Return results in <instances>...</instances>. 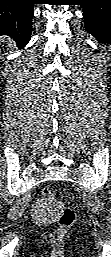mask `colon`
Masks as SVG:
<instances>
[{
  "label": "colon",
  "instance_id": "colon-1",
  "mask_svg": "<svg viewBox=\"0 0 111 257\" xmlns=\"http://www.w3.org/2000/svg\"><path fill=\"white\" fill-rule=\"evenodd\" d=\"M43 201L51 206L58 219V228L52 233L54 242H60L65 234L71 229L75 222V213L68 207L60 206L55 201V193L50 189H44L42 192Z\"/></svg>",
  "mask_w": 111,
  "mask_h": 257
}]
</instances>
